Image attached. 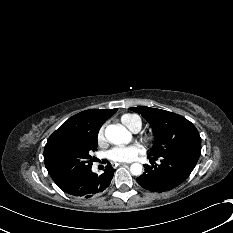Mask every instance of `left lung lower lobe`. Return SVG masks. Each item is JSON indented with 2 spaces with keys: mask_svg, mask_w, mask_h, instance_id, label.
I'll return each mask as SVG.
<instances>
[{
  "mask_svg": "<svg viewBox=\"0 0 233 233\" xmlns=\"http://www.w3.org/2000/svg\"><path fill=\"white\" fill-rule=\"evenodd\" d=\"M157 158H160L161 164L144 165L145 172L136 179L140 186L149 191H169L183 183L195 168V165L175 156H153V159Z\"/></svg>",
  "mask_w": 233,
  "mask_h": 233,
  "instance_id": "0a47b994",
  "label": "left lung lower lobe"
}]
</instances>
